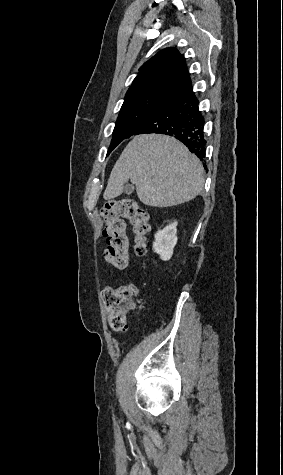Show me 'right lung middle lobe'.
Instances as JSON below:
<instances>
[{
  "mask_svg": "<svg viewBox=\"0 0 283 475\" xmlns=\"http://www.w3.org/2000/svg\"><path fill=\"white\" fill-rule=\"evenodd\" d=\"M175 89L165 88L125 99L113 132L107 155L121 143L141 120L159 107Z\"/></svg>",
  "mask_w": 283,
  "mask_h": 475,
  "instance_id": "dd1d6c3e",
  "label": "right lung middle lobe"
}]
</instances>
